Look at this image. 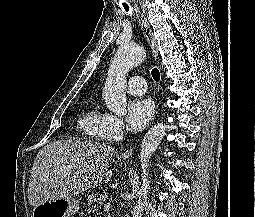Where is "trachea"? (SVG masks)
<instances>
[{"mask_svg":"<svg viewBox=\"0 0 255 217\" xmlns=\"http://www.w3.org/2000/svg\"><path fill=\"white\" fill-rule=\"evenodd\" d=\"M124 9L126 11L129 10V6L124 4ZM151 74H152V77L154 79V81L158 82L160 80V73H159V70L157 68H153L152 71H151Z\"/></svg>","mask_w":255,"mask_h":217,"instance_id":"obj_1","label":"trachea"}]
</instances>
